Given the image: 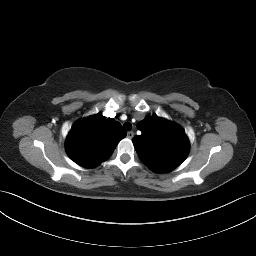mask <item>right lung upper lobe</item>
I'll return each mask as SVG.
<instances>
[{
    "instance_id": "right-lung-upper-lobe-1",
    "label": "right lung upper lobe",
    "mask_w": 256,
    "mask_h": 256,
    "mask_svg": "<svg viewBox=\"0 0 256 256\" xmlns=\"http://www.w3.org/2000/svg\"><path fill=\"white\" fill-rule=\"evenodd\" d=\"M126 136L121 124L101 113L76 122L66 139V152L78 165L94 168L108 159Z\"/></svg>"
}]
</instances>
